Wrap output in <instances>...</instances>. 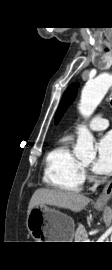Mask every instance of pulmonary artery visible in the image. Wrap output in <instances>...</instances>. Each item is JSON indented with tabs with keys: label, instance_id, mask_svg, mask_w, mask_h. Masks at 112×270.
I'll list each match as a JSON object with an SVG mask.
<instances>
[{
	"label": "pulmonary artery",
	"instance_id": "1",
	"mask_svg": "<svg viewBox=\"0 0 112 270\" xmlns=\"http://www.w3.org/2000/svg\"><path fill=\"white\" fill-rule=\"evenodd\" d=\"M109 126V122L106 118L101 116H95L88 124V127L91 130L101 131L106 129Z\"/></svg>",
	"mask_w": 112,
	"mask_h": 270
}]
</instances>
